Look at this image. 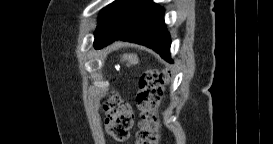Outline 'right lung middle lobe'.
Returning <instances> with one entry per match:
<instances>
[{
  "mask_svg": "<svg viewBox=\"0 0 273 144\" xmlns=\"http://www.w3.org/2000/svg\"><path fill=\"white\" fill-rule=\"evenodd\" d=\"M120 0H116L115 2H113V4L108 5L107 8L103 9L102 12L99 15L98 18V24H100L102 22V20L104 19V17L106 16L107 12L109 11V9L115 5L117 2H119Z\"/></svg>",
  "mask_w": 273,
  "mask_h": 144,
  "instance_id": "dd1d6c3e",
  "label": "right lung middle lobe"
}]
</instances>
